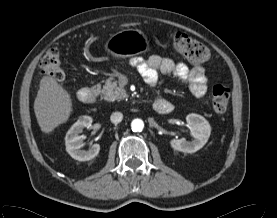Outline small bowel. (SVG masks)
I'll return each instance as SVG.
<instances>
[{"label":"small bowel","mask_w":277,"mask_h":218,"mask_svg":"<svg viewBox=\"0 0 277 218\" xmlns=\"http://www.w3.org/2000/svg\"><path fill=\"white\" fill-rule=\"evenodd\" d=\"M130 63L137 69L146 84L151 88L157 86L158 73H162L164 75H172L181 82L187 84L190 92L197 98L203 97L207 92L208 78L201 66L189 68L183 62L176 63L171 58L162 57L160 55H152L147 60L133 58ZM163 100L166 99L157 98L154 101V109L158 113L166 114L171 111L172 106L166 113H162L158 107Z\"/></svg>","instance_id":"c3829d8e"}]
</instances>
